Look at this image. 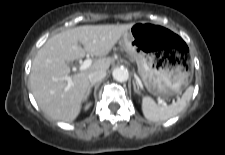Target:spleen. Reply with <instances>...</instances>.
<instances>
[{
  "label": "spleen",
  "instance_id": "spleen-1",
  "mask_svg": "<svg viewBox=\"0 0 225 155\" xmlns=\"http://www.w3.org/2000/svg\"><path fill=\"white\" fill-rule=\"evenodd\" d=\"M193 90L194 88L192 86L188 87L181 98L166 107L159 106L152 98L144 96L142 99V112L145 118L153 122H158L178 115L190 101Z\"/></svg>",
  "mask_w": 225,
  "mask_h": 155
}]
</instances>
